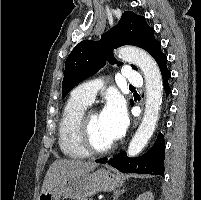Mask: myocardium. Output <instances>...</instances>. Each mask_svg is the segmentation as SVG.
<instances>
[{"label": "myocardium", "mask_w": 201, "mask_h": 200, "mask_svg": "<svg viewBox=\"0 0 201 200\" xmlns=\"http://www.w3.org/2000/svg\"><path fill=\"white\" fill-rule=\"evenodd\" d=\"M94 114H98V112L93 109L86 110L79 118L77 125V141L79 146L87 154L91 155L106 154L114 149L115 147L114 143H111L102 148H97L93 146L89 140V119Z\"/></svg>", "instance_id": "myocardium-1"}]
</instances>
